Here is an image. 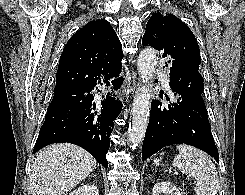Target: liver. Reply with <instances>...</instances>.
<instances>
[{"mask_svg":"<svg viewBox=\"0 0 245 195\" xmlns=\"http://www.w3.org/2000/svg\"><path fill=\"white\" fill-rule=\"evenodd\" d=\"M96 166L85 149L74 144H52L40 150L32 163L33 195H67Z\"/></svg>","mask_w":245,"mask_h":195,"instance_id":"1","label":"liver"}]
</instances>
